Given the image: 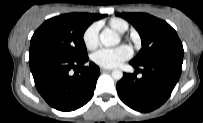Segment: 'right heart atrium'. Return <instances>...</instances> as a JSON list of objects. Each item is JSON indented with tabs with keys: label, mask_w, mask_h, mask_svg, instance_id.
<instances>
[{
	"label": "right heart atrium",
	"mask_w": 203,
	"mask_h": 123,
	"mask_svg": "<svg viewBox=\"0 0 203 123\" xmlns=\"http://www.w3.org/2000/svg\"><path fill=\"white\" fill-rule=\"evenodd\" d=\"M99 28V23H93L86 29L83 35V41L87 49L92 50L98 46Z\"/></svg>",
	"instance_id": "obj_1"
}]
</instances>
